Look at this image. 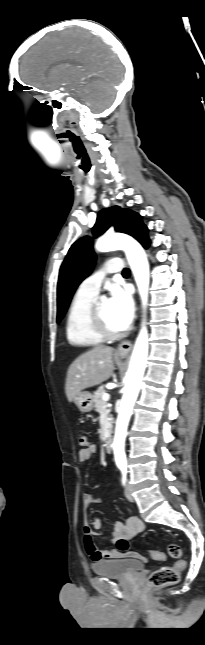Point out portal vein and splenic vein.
I'll return each instance as SVG.
<instances>
[{
  "label": "portal vein and splenic vein",
  "mask_w": 205,
  "mask_h": 645,
  "mask_svg": "<svg viewBox=\"0 0 205 645\" xmlns=\"http://www.w3.org/2000/svg\"><path fill=\"white\" fill-rule=\"evenodd\" d=\"M102 398H103L104 401H108L110 399V396H109V394L105 393V394H103Z\"/></svg>",
  "instance_id": "1"
}]
</instances>
